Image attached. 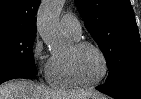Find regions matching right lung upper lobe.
<instances>
[{
    "instance_id": "cb5924a9",
    "label": "right lung upper lobe",
    "mask_w": 141,
    "mask_h": 99,
    "mask_svg": "<svg viewBox=\"0 0 141 99\" xmlns=\"http://www.w3.org/2000/svg\"><path fill=\"white\" fill-rule=\"evenodd\" d=\"M40 0H0V29L36 31Z\"/></svg>"
}]
</instances>
